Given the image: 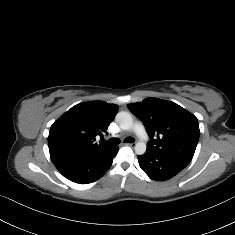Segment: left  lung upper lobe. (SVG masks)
<instances>
[{
    "label": "left lung upper lobe",
    "mask_w": 235,
    "mask_h": 235,
    "mask_svg": "<svg viewBox=\"0 0 235 235\" xmlns=\"http://www.w3.org/2000/svg\"><path fill=\"white\" fill-rule=\"evenodd\" d=\"M145 125L151 138L147 150L190 162L200 135L197 118L176 103L147 98L127 105Z\"/></svg>",
    "instance_id": "5c2ea615"
}]
</instances>
